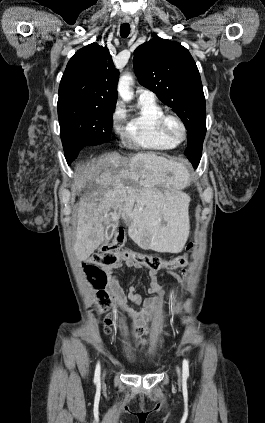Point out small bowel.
Wrapping results in <instances>:
<instances>
[{
    "label": "small bowel",
    "mask_w": 265,
    "mask_h": 423,
    "mask_svg": "<svg viewBox=\"0 0 265 423\" xmlns=\"http://www.w3.org/2000/svg\"><path fill=\"white\" fill-rule=\"evenodd\" d=\"M143 266L131 260H119L115 264L105 266L104 273L106 275V288L112 301L119 306L122 313L127 316L124 324L133 329L134 334H140L148 324L156 317L157 311L161 307V297L164 292L157 282V274L149 271L150 285L147 292L152 295L150 298L143 299L136 293L135 284L128 287L127 294H124L117 280V274L122 268L137 270ZM179 281H185V273H174ZM127 299L135 304L141 305L140 309L127 305ZM182 310V306H177L172 310L173 314H177ZM144 342L140 341V345Z\"/></svg>",
    "instance_id": "c3829d8e"
}]
</instances>
